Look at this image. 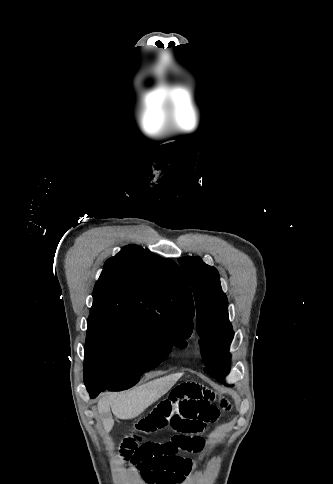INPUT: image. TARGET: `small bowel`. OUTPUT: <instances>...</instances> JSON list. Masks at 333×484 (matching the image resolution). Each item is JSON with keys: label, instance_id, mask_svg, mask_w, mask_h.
Here are the masks:
<instances>
[{"label": "small bowel", "instance_id": "obj_1", "mask_svg": "<svg viewBox=\"0 0 333 484\" xmlns=\"http://www.w3.org/2000/svg\"><path fill=\"white\" fill-rule=\"evenodd\" d=\"M228 400L206 386L186 381L176 385L145 417L138 420L124 438L121 452L150 484H181L192 470L193 461L179 451L200 452L201 437L208 423L228 411ZM171 429L174 435L164 443L140 441L141 434Z\"/></svg>", "mask_w": 333, "mask_h": 484}]
</instances>
